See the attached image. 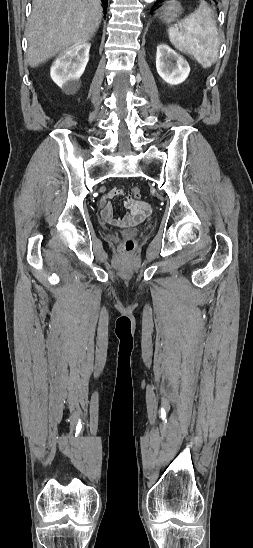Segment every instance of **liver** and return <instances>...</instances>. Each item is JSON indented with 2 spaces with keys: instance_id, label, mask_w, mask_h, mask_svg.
Returning <instances> with one entry per match:
<instances>
[{
  "instance_id": "liver-1",
  "label": "liver",
  "mask_w": 253,
  "mask_h": 548,
  "mask_svg": "<svg viewBox=\"0 0 253 548\" xmlns=\"http://www.w3.org/2000/svg\"><path fill=\"white\" fill-rule=\"evenodd\" d=\"M102 11L100 0H33L27 27L30 67L87 42L99 28Z\"/></svg>"
}]
</instances>
